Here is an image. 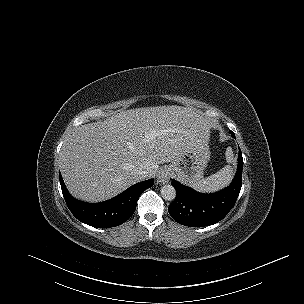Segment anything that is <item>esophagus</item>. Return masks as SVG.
Returning a JSON list of instances; mask_svg holds the SVG:
<instances>
[{
  "label": "esophagus",
  "instance_id": "1",
  "mask_svg": "<svg viewBox=\"0 0 304 304\" xmlns=\"http://www.w3.org/2000/svg\"><path fill=\"white\" fill-rule=\"evenodd\" d=\"M171 178V173L168 169H162L157 175L158 183H167Z\"/></svg>",
  "mask_w": 304,
  "mask_h": 304
}]
</instances>
